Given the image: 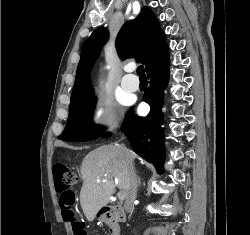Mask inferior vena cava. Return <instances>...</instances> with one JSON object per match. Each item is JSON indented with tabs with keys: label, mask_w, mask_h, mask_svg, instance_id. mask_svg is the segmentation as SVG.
Returning a JSON list of instances; mask_svg holds the SVG:
<instances>
[{
	"label": "inferior vena cava",
	"mask_w": 250,
	"mask_h": 235,
	"mask_svg": "<svg viewBox=\"0 0 250 235\" xmlns=\"http://www.w3.org/2000/svg\"><path fill=\"white\" fill-rule=\"evenodd\" d=\"M119 154L122 161L127 165L130 177V184L127 190V197L124 208L127 212L132 211V205L137 195V176L133 166V157L124 144L118 146Z\"/></svg>",
	"instance_id": "inferior-vena-cava-1"
}]
</instances>
